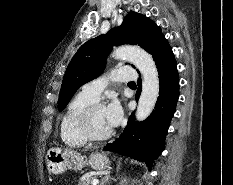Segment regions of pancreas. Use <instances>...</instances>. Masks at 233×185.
Returning <instances> with one entry per match:
<instances>
[{"mask_svg":"<svg viewBox=\"0 0 233 185\" xmlns=\"http://www.w3.org/2000/svg\"><path fill=\"white\" fill-rule=\"evenodd\" d=\"M94 176H91L90 174H86L82 176L77 185H90L91 181L94 179Z\"/></svg>","mask_w":233,"mask_h":185,"instance_id":"pancreas-1","label":"pancreas"}]
</instances>
